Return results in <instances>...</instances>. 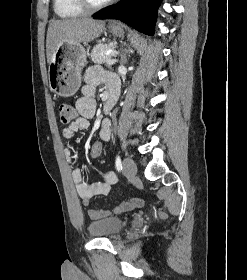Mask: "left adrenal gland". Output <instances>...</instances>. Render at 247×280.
Wrapping results in <instances>:
<instances>
[{
  "label": "left adrenal gland",
  "mask_w": 247,
  "mask_h": 280,
  "mask_svg": "<svg viewBox=\"0 0 247 280\" xmlns=\"http://www.w3.org/2000/svg\"><path fill=\"white\" fill-rule=\"evenodd\" d=\"M126 57L125 56H123V58H122V63H126Z\"/></svg>",
  "instance_id": "obj_1"
}]
</instances>
